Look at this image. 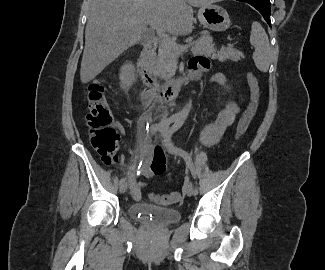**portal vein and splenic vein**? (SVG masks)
Wrapping results in <instances>:
<instances>
[{
	"mask_svg": "<svg viewBox=\"0 0 325 270\" xmlns=\"http://www.w3.org/2000/svg\"><path fill=\"white\" fill-rule=\"evenodd\" d=\"M154 29L157 30L158 36L161 39V41L164 44L170 45L172 47L177 48L180 52L188 49L190 47V45H185V46H179L177 45V43L175 42L174 39H172L171 37H169L168 34H166L161 28H159L157 25H155L153 22L149 23Z\"/></svg>",
	"mask_w": 325,
	"mask_h": 270,
	"instance_id": "portal-vein-and-splenic-vein-1",
	"label": "portal vein and splenic vein"
}]
</instances>
